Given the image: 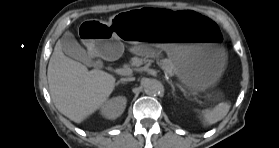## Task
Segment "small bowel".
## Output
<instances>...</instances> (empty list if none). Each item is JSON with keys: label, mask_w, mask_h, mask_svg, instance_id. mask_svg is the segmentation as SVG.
<instances>
[{"label": "small bowel", "mask_w": 279, "mask_h": 148, "mask_svg": "<svg viewBox=\"0 0 279 148\" xmlns=\"http://www.w3.org/2000/svg\"><path fill=\"white\" fill-rule=\"evenodd\" d=\"M133 52L142 53V52H145V51H144V49H142L140 47H133Z\"/></svg>", "instance_id": "obj_1"}]
</instances>
